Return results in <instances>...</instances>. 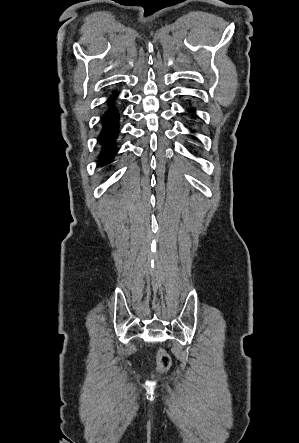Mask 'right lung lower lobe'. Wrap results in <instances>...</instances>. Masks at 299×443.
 <instances>
[{"label":"right lung lower lobe","mask_w":299,"mask_h":443,"mask_svg":"<svg viewBox=\"0 0 299 443\" xmlns=\"http://www.w3.org/2000/svg\"><path fill=\"white\" fill-rule=\"evenodd\" d=\"M116 93H113V97L107 100V104L110 105V108L106 112V114L102 118L103 129L100 135V144H101V152H100V166L105 167L108 166L113 159V155L116 152L115 149V139L118 135V121H119V112L115 106H113V102Z\"/></svg>","instance_id":"1"}]
</instances>
